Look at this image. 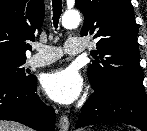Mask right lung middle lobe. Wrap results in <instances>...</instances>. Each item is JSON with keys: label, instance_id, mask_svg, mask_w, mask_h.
<instances>
[{"label": "right lung middle lobe", "instance_id": "1", "mask_svg": "<svg viewBox=\"0 0 147 131\" xmlns=\"http://www.w3.org/2000/svg\"><path fill=\"white\" fill-rule=\"evenodd\" d=\"M25 60V58L0 57V82L16 84L31 80L32 77L26 76L22 67Z\"/></svg>", "mask_w": 147, "mask_h": 131}]
</instances>
